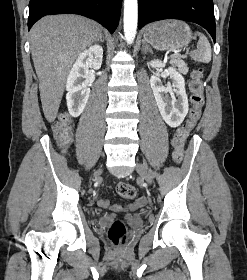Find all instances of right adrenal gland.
<instances>
[{"instance_id":"1","label":"right adrenal gland","mask_w":247,"mask_h":280,"mask_svg":"<svg viewBox=\"0 0 247 280\" xmlns=\"http://www.w3.org/2000/svg\"><path fill=\"white\" fill-rule=\"evenodd\" d=\"M98 41H100L101 43L104 42V37H103L102 33H100Z\"/></svg>"}]
</instances>
